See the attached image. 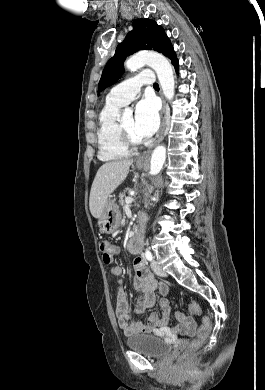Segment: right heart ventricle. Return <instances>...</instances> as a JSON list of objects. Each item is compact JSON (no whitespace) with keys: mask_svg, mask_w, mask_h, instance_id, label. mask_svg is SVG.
<instances>
[{"mask_svg":"<svg viewBox=\"0 0 265 390\" xmlns=\"http://www.w3.org/2000/svg\"><path fill=\"white\" fill-rule=\"evenodd\" d=\"M121 107L106 102L99 114L98 157L102 161H118L127 158L130 154L129 149L123 144L118 130V115Z\"/></svg>","mask_w":265,"mask_h":390,"instance_id":"1","label":"right heart ventricle"}]
</instances>
